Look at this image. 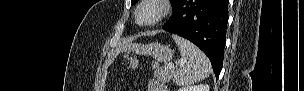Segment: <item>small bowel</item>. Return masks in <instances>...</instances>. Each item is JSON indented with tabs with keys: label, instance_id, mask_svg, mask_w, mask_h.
I'll use <instances>...</instances> for the list:
<instances>
[{
	"label": "small bowel",
	"instance_id": "small-bowel-1",
	"mask_svg": "<svg viewBox=\"0 0 304 91\" xmlns=\"http://www.w3.org/2000/svg\"><path fill=\"white\" fill-rule=\"evenodd\" d=\"M150 91H166L167 89L164 87V85L158 81V80H152L149 83V89Z\"/></svg>",
	"mask_w": 304,
	"mask_h": 91
}]
</instances>
